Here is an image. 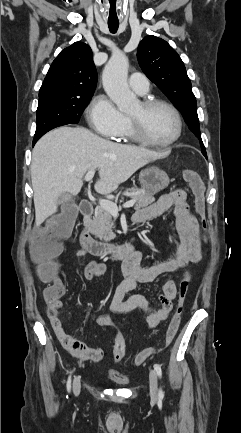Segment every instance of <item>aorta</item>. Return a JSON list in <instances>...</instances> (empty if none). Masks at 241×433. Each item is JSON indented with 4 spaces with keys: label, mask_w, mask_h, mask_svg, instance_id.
Here are the masks:
<instances>
[{
    "label": "aorta",
    "mask_w": 241,
    "mask_h": 433,
    "mask_svg": "<svg viewBox=\"0 0 241 433\" xmlns=\"http://www.w3.org/2000/svg\"><path fill=\"white\" fill-rule=\"evenodd\" d=\"M128 58L122 53L111 56L102 74L103 87L121 112L130 111L138 103L127 83Z\"/></svg>",
    "instance_id": "1"
}]
</instances>
